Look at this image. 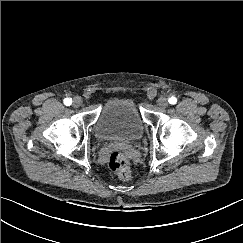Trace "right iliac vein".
I'll use <instances>...</instances> for the list:
<instances>
[{"label":"right iliac vein","instance_id":"1","mask_svg":"<svg viewBox=\"0 0 243 243\" xmlns=\"http://www.w3.org/2000/svg\"><path fill=\"white\" fill-rule=\"evenodd\" d=\"M81 105H82V99H81V97H79V96L74 97V99H73V106L75 108H78Z\"/></svg>","mask_w":243,"mask_h":243}]
</instances>
